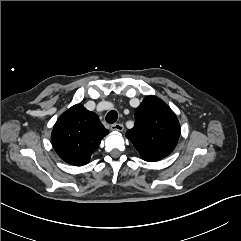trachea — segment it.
<instances>
[{"instance_id": "trachea-1", "label": "trachea", "mask_w": 241, "mask_h": 241, "mask_svg": "<svg viewBox=\"0 0 241 241\" xmlns=\"http://www.w3.org/2000/svg\"><path fill=\"white\" fill-rule=\"evenodd\" d=\"M118 118V114L115 110H111L110 112H108V114L106 115V122L113 124L116 122Z\"/></svg>"}]
</instances>
